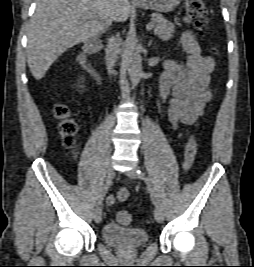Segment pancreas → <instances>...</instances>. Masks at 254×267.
I'll return each mask as SVG.
<instances>
[{
  "label": "pancreas",
  "mask_w": 254,
  "mask_h": 267,
  "mask_svg": "<svg viewBox=\"0 0 254 267\" xmlns=\"http://www.w3.org/2000/svg\"><path fill=\"white\" fill-rule=\"evenodd\" d=\"M152 22L154 23V34L163 40H169L173 37L175 26L168 22L161 14H153Z\"/></svg>",
  "instance_id": "1"
}]
</instances>
